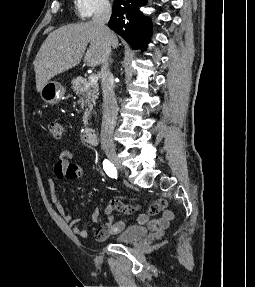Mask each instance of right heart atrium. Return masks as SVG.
Listing matches in <instances>:
<instances>
[{"label": "right heart atrium", "instance_id": "right-heart-atrium-1", "mask_svg": "<svg viewBox=\"0 0 255 287\" xmlns=\"http://www.w3.org/2000/svg\"><path fill=\"white\" fill-rule=\"evenodd\" d=\"M61 48H82V47H61Z\"/></svg>", "mask_w": 255, "mask_h": 287}]
</instances>
